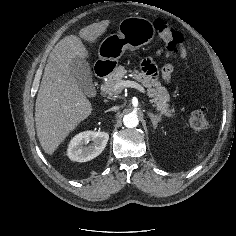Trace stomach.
Listing matches in <instances>:
<instances>
[{
	"label": "stomach",
	"instance_id": "1",
	"mask_svg": "<svg viewBox=\"0 0 236 236\" xmlns=\"http://www.w3.org/2000/svg\"><path fill=\"white\" fill-rule=\"evenodd\" d=\"M155 35L151 21L141 17H127L120 21L118 33L107 36L98 49L99 60L116 68L118 60L128 49L137 50L149 44ZM113 70V71H114Z\"/></svg>",
	"mask_w": 236,
	"mask_h": 236
}]
</instances>
